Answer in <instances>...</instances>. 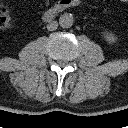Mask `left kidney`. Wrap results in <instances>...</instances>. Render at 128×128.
<instances>
[{"mask_svg": "<svg viewBox=\"0 0 128 128\" xmlns=\"http://www.w3.org/2000/svg\"><path fill=\"white\" fill-rule=\"evenodd\" d=\"M104 38L109 44H113L116 42V37L112 32H104Z\"/></svg>", "mask_w": 128, "mask_h": 128, "instance_id": "obj_1", "label": "left kidney"}]
</instances>
